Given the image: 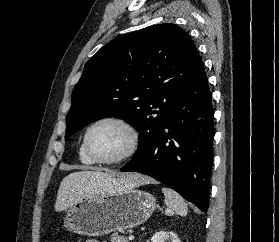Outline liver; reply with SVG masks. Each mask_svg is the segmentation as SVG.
Masks as SVG:
<instances>
[{
  "mask_svg": "<svg viewBox=\"0 0 279 242\" xmlns=\"http://www.w3.org/2000/svg\"><path fill=\"white\" fill-rule=\"evenodd\" d=\"M152 182V179L142 175L115 178L114 175L101 171L73 172L60 183L54 208L55 211H63L91 195L135 188Z\"/></svg>",
  "mask_w": 279,
  "mask_h": 242,
  "instance_id": "liver-1",
  "label": "liver"
}]
</instances>
